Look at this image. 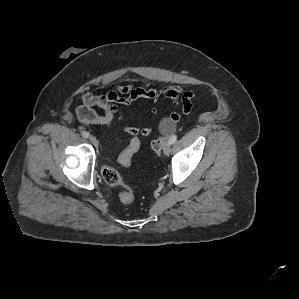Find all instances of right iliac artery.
Returning <instances> with one entry per match:
<instances>
[{"mask_svg":"<svg viewBox=\"0 0 299 299\" xmlns=\"http://www.w3.org/2000/svg\"><path fill=\"white\" fill-rule=\"evenodd\" d=\"M81 135H82L84 138H88L90 134H89L88 132H86V131H82V132H81Z\"/></svg>","mask_w":299,"mask_h":299,"instance_id":"1","label":"right iliac artery"}]
</instances>
